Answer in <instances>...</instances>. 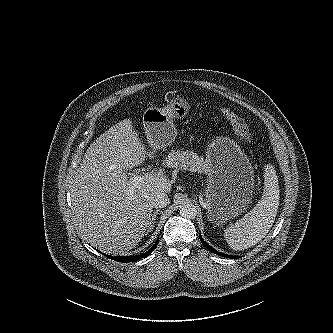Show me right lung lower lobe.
I'll use <instances>...</instances> for the list:
<instances>
[{
	"instance_id": "obj_1",
	"label": "right lung lower lobe",
	"mask_w": 333,
	"mask_h": 333,
	"mask_svg": "<svg viewBox=\"0 0 333 333\" xmlns=\"http://www.w3.org/2000/svg\"><path fill=\"white\" fill-rule=\"evenodd\" d=\"M159 239L157 238L155 244L145 253L135 255V256H107L109 259H112L114 261L118 262H133L138 261L139 259L148 256L157 246Z\"/></svg>"
}]
</instances>
